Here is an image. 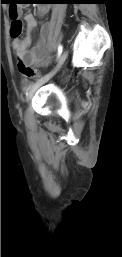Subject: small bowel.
Here are the masks:
<instances>
[{
	"mask_svg": "<svg viewBox=\"0 0 122 257\" xmlns=\"http://www.w3.org/2000/svg\"><path fill=\"white\" fill-rule=\"evenodd\" d=\"M49 8L46 5H40L37 8L39 17H44ZM22 10H18L20 13ZM24 21L27 26V34L22 38H14L12 41L13 50L18 59L32 67L46 65L49 62L48 49L50 47L51 24L43 22L40 29L39 39L31 47V32L37 26V19L31 13L24 15Z\"/></svg>",
	"mask_w": 122,
	"mask_h": 257,
	"instance_id": "obj_1",
	"label": "small bowel"
}]
</instances>
